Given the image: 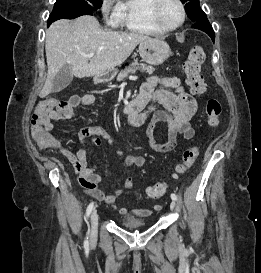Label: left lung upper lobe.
Segmentation results:
<instances>
[{
    "label": "left lung upper lobe",
    "mask_w": 261,
    "mask_h": 273,
    "mask_svg": "<svg viewBox=\"0 0 261 273\" xmlns=\"http://www.w3.org/2000/svg\"><path fill=\"white\" fill-rule=\"evenodd\" d=\"M181 2L185 3V10H186L187 16L193 22L206 18V14L200 8L199 0H181Z\"/></svg>",
    "instance_id": "left-lung-upper-lobe-1"
}]
</instances>
